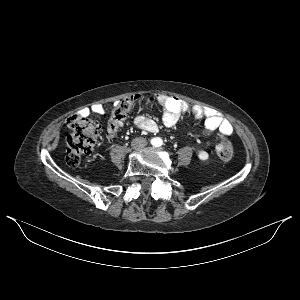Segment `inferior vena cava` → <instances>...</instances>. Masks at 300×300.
<instances>
[{
    "mask_svg": "<svg viewBox=\"0 0 300 300\" xmlns=\"http://www.w3.org/2000/svg\"><path fill=\"white\" fill-rule=\"evenodd\" d=\"M132 144L135 147H144L147 145V140L143 137H138L133 140Z\"/></svg>",
    "mask_w": 300,
    "mask_h": 300,
    "instance_id": "inferior-vena-cava-1",
    "label": "inferior vena cava"
}]
</instances>
